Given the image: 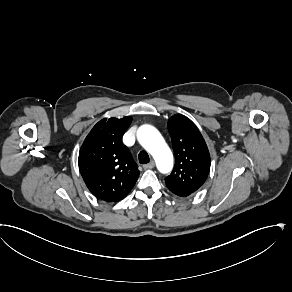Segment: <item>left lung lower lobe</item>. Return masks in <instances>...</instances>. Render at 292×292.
<instances>
[{
  "label": "left lung lower lobe",
  "mask_w": 292,
  "mask_h": 292,
  "mask_svg": "<svg viewBox=\"0 0 292 292\" xmlns=\"http://www.w3.org/2000/svg\"><path fill=\"white\" fill-rule=\"evenodd\" d=\"M174 194H176L178 196H181V197H186V196H189L190 195L189 193H185V192H176Z\"/></svg>",
  "instance_id": "obj_1"
}]
</instances>
